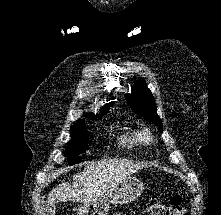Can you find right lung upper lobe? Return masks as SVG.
<instances>
[{
  "label": "right lung upper lobe",
  "instance_id": "obj_1",
  "mask_svg": "<svg viewBox=\"0 0 221 215\" xmlns=\"http://www.w3.org/2000/svg\"><path fill=\"white\" fill-rule=\"evenodd\" d=\"M113 104H114V102L112 101V102H109L106 105H104L102 108L103 112H108L110 106H112ZM86 116L89 118H92V119L96 118L95 115H93V114H86Z\"/></svg>",
  "mask_w": 221,
  "mask_h": 215
}]
</instances>
